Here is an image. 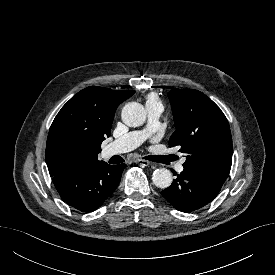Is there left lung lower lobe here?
Returning <instances> with one entry per match:
<instances>
[{
  "label": "left lung lower lobe",
  "instance_id": "1",
  "mask_svg": "<svg viewBox=\"0 0 275 275\" xmlns=\"http://www.w3.org/2000/svg\"><path fill=\"white\" fill-rule=\"evenodd\" d=\"M226 179L216 172L184 166V170L161 194L177 210L191 212L210 203Z\"/></svg>",
  "mask_w": 275,
  "mask_h": 275
}]
</instances>
